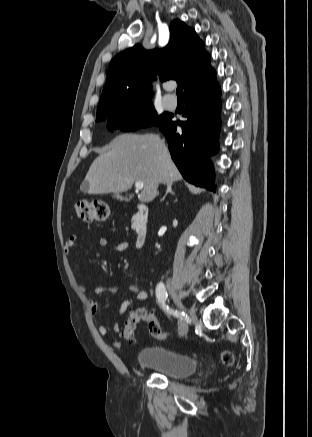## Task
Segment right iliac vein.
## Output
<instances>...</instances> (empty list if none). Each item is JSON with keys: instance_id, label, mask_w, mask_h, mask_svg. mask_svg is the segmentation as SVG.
<instances>
[{"instance_id": "right-iliac-vein-1", "label": "right iliac vein", "mask_w": 312, "mask_h": 437, "mask_svg": "<svg viewBox=\"0 0 312 437\" xmlns=\"http://www.w3.org/2000/svg\"><path fill=\"white\" fill-rule=\"evenodd\" d=\"M171 295H172V298H173L174 302L176 303L177 307L180 310H182L185 313H187L189 315L190 319L195 320V317H194L193 313L189 309H187L185 307V305L182 303V301L180 300L179 295H178V293H177V291L175 290L174 287H171ZM187 323L188 322L186 320H184V319L180 320L179 328H180L181 334H184L186 332V330H187Z\"/></svg>"}]
</instances>
